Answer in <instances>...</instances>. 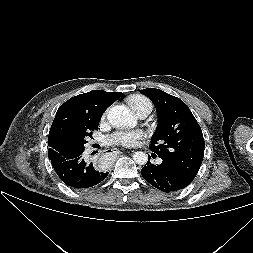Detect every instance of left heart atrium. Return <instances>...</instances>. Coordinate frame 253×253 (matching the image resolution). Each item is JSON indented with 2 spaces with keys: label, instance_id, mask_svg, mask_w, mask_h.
Listing matches in <instances>:
<instances>
[{
  "label": "left heart atrium",
  "instance_id": "39dd6f15",
  "mask_svg": "<svg viewBox=\"0 0 253 253\" xmlns=\"http://www.w3.org/2000/svg\"><path fill=\"white\" fill-rule=\"evenodd\" d=\"M145 136L142 130L120 131L109 136L106 141L111 145L134 146Z\"/></svg>",
  "mask_w": 253,
  "mask_h": 253
}]
</instances>
